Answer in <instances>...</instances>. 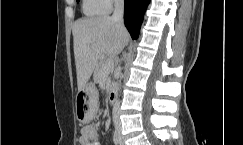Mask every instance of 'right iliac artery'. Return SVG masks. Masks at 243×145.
Masks as SVG:
<instances>
[{
  "label": "right iliac artery",
  "instance_id": "82829eb1",
  "mask_svg": "<svg viewBox=\"0 0 243 145\" xmlns=\"http://www.w3.org/2000/svg\"><path fill=\"white\" fill-rule=\"evenodd\" d=\"M113 142L115 145L119 144V132L117 129H115V131L113 133Z\"/></svg>",
  "mask_w": 243,
  "mask_h": 145
}]
</instances>
